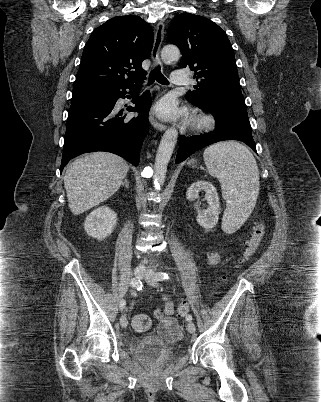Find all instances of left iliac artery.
Returning a JSON list of instances; mask_svg holds the SVG:
<instances>
[{"mask_svg":"<svg viewBox=\"0 0 321 402\" xmlns=\"http://www.w3.org/2000/svg\"><path fill=\"white\" fill-rule=\"evenodd\" d=\"M156 279H157L158 281H162V280H165V279H169V276H168L167 273L158 272V273L156 274ZM186 320H187V321H191V320H192V316H191V315H188V316L186 317Z\"/></svg>","mask_w":321,"mask_h":402,"instance_id":"left-iliac-artery-1","label":"left iliac artery"}]
</instances>
